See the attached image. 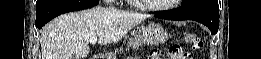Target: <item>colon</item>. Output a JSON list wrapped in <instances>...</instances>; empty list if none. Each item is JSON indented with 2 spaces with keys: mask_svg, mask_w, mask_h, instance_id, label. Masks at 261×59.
Returning a JSON list of instances; mask_svg holds the SVG:
<instances>
[{
  "mask_svg": "<svg viewBox=\"0 0 261 59\" xmlns=\"http://www.w3.org/2000/svg\"><path fill=\"white\" fill-rule=\"evenodd\" d=\"M185 40L193 46L195 50H201L203 48V41L194 34H187ZM157 58H162V53L159 51L155 54ZM167 58L170 59H192L191 56L182 52L179 46H171L167 50Z\"/></svg>",
  "mask_w": 261,
  "mask_h": 59,
  "instance_id": "obj_1",
  "label": "colon"
}]
</instances>
